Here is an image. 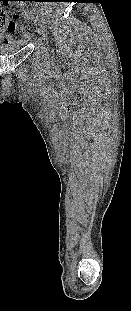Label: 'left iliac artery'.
I'll return each instance as SVG.
<instances>
[{"instance_id": "44dca946", "label": "left iliac artery", "mask_w": 131, "mask_h": 311, "mask_svg": "<svg viewBox=\"0 0 131 311\" xmlns=\"http://www.w3.org/2000/svg\"><path fill=\"white\" fill-rule=\"evenodd\" d=\"M42 22L45 23V24H48V25L50 24V20L47 19V18H43Z\"/></svg>"}]
</instances>
